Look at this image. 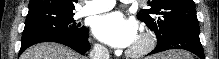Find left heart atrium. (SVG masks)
Wrapping results in <instances>:
<instances>
[{
    "label": "left heart atrium",
    "mask_w": 219,
    "mask_h": 59,
    "mask_svg": "<svg viewBox=\"0 0 219 59\" xmlns=\"http://www.w3.org/2000/svg\"><path fill=\"white\" fill-rule=\"evenodd\" d=\"M94 36L112 47H128L137 39L135 21L126 19L118 11L97 16L92 23Z\"/></svg>",
    "instance_id": "left-heart-atrium-1"
}]
</instances>
